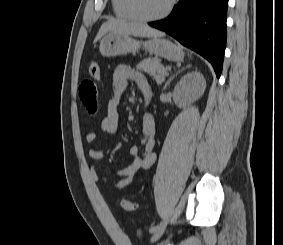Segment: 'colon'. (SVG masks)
I'll return each mask as SVG.
<instances>
[{
	"mask_svg": "<svg viewBox=\"0 0 283 245\" xmlns=\"http://www.w3.org/2000/svg\"><path fill=\"white\" fill-rule=\"evenodd\" d=\"M88 73L91 79L98 80L100 77V68L96 62H91L88 68ZM122 207L127 212H134L137 210L136 203L130 200H123Z\"/></svg>",
	"mask_w": 283,
	"mask_h": 245,
	"instance_id": "5ec220e1",
	"label": "colon"
}]
</instances>
